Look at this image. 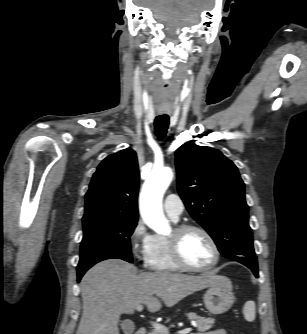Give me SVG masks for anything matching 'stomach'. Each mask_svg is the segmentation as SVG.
I'll return each instance as SVG.
<instances>
[{"mask_svg":"<svg viewBox=\"0 0 307 334\" xmlns=\"http://www.w3.org/2000/svg\"><path fill=\"white\" fill-rule=\"evenodd\" d=\"M216 284L210 286L204 294V304L207 310L215 315L227 312L234 303L232 283L222 275H216Z\"/></svg>","mask_w":307,"mask_h":334,"instance_id":"1","label":"stomach"}]
</instances>
